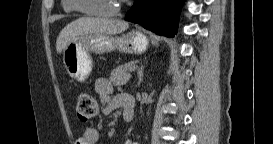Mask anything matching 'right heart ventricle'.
I'll list each match as a JSON object with an SVG mask.
<instances>
[{"label":"right heart ventricle","mask_w":273,"mask_h":144,"mask_svg":"<svg viewBox=\"0 0 273 144\" xmlns=\"http://www.w3.org/2000/svg\"><path fill=\"white\" fill-rule=\"evenodd\" d=\"M63 10L67 13H72L74 8L72 6V0H63L62 2Z\"/></svg>","instance_id":"e07e8e85"}]
</instances>
